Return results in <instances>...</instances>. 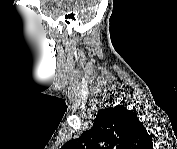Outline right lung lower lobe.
I'll return each mask as SVG.
<instances>
[{
	"mask_svg": "<svg viewBox=\"0 0 177 149\" xmlns=\"http://www.w3.org/2000/svg\"><path fill=\"white\" fill-rule=\"evenodd\" d=\"M148 148H152V141L149 143Z\"/></svg>",
	"mask_w": 177,
	"mask_h": 149,
	"instance_id": "98d812e1",
	"label": "right lung lower lobe"
}]
</instances>
